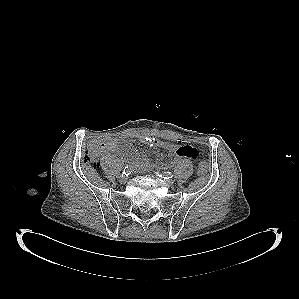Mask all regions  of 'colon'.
<instances>
[{"instance_id": "colon-1", "label": "colon", "mask_w": 299, "mask_h": 299, "mask_svg": "<svg viewBox=\"0 0 299 299\" xmlns=\"http://www.w3.org/2000/svg\"><path fill=\"white\" fill-rule=\"evenodd\" d=\"M104 142L100 140H94L90 142L85 155V162L92 166H98V158L104 148ZM208 166L205 161L200 160L197 166V173L200 176H204L207 173Z\"/></svg>"}]
</instances>
